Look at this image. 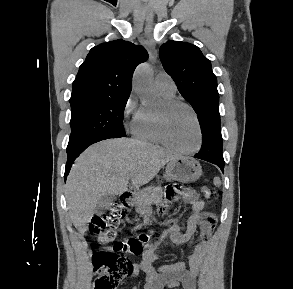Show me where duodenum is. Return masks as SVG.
<instances>
[{
	"label": "duodenum",
	"mask_w": 293,
	"mask_h": 289,
	"mask_svg": "<svg viewBox=\"0 0 293 289\" xmlns=\"http://www.w3.org/2000/svg\"><path fill=\"white\" fill-rule=\"evenodd\" d=\"M132 199H133L132 192H124L120 196V203L124 207H129L131 205Z\"/></svg>",
	"instance_id": "410a0bca"
}]
</instances>
